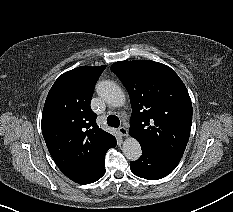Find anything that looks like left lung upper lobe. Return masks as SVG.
Returning a JSON list of instances; mask_svg holds the SVG:
<instances>
[{
	"label": "left lung upper lobe",
	"instance_id": "5c2ea615",
	"mask_svg": "<svg viewBox=\"0 0 233 212\" xmlns=\"http://www.w3.org/2000/svg\"><path fill=\"white\" fill-rule=\"evenodd\" d=\"M111 71L130 96V135L141 146L181 158L190 136L192 103L179 76L151 60L119 61Z\"/></svg>",
	"mask_w": 233,
	"mask_h": 212
}]
</instances>
